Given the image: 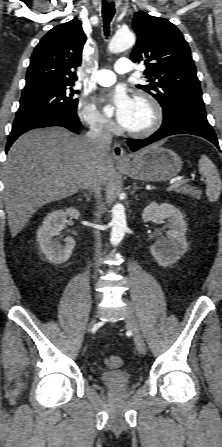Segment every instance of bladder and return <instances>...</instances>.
I'll use <instances>...</instances> for the list:
<instances>
[{
    "label": "bladder",
    "instance_id": "1",
    "mask_svg": "<svg viewBox=\"0 0 222 447\" xmlns=\"http://www.w3.org/2000/svg\"><path fill=\"white\" fill-rule=\"evenodd\" d=\"M102 384L111 390L127 388L132 381V374L124 370H112L99 375Z\"/></svg>",
    "mask_w": 222,
    "mask_h": 447
}]
</instances>
